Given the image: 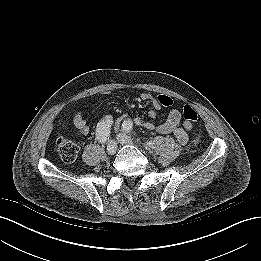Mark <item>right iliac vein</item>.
Listing matches in <instances>:
<instances>
[{"label":"right iliac vein","instance_id":"obj_1","mask_svg":"<svg viewBox=\"0 0 261 261\" xmlns=\"http://www.w3.org/2000/svg\"><path fill=\"white\" fill-rule=\"evenodd\" d=\"M117 150V144L114 140H109L107 144V151L110 154H114Z\"/></svg>","mask_w":261,"mask_h":261}]
</instances>
